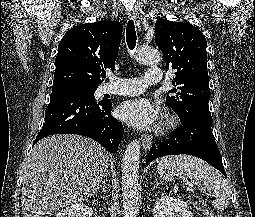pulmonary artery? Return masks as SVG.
I'll list each match as a JSON object with an SVG mask.
<instances>
[{
	"mask_svg": "<svg viewBox=\"0 0 255 217\" xmlns=\"http://www.w3.org/2000/svg\"><path fill=\"white\" fill-rule=\"evenodd\" d=\"M162 77V71L158 67L149 68L143 77L120 78L110 75L109 79L120 85L108 84L105 86L104 92L122 96L138 95L145 91L148 84L160 83Z\"/></svg>",
	"mask_w": 255,
	"mask_h": 217,
	"instance_id": "1",
	"label": "pulmonary artery"
}]
</instances>
